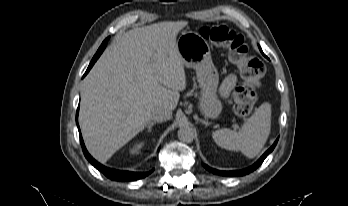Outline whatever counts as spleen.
I'll list each match as a JSON object with an SVG mask.
<instances>
[{
  "mask_svg": "<svg viewBox=\"0 0 348 206\" xmlns=\"http://www.w3.org/2000/svg\"><path fill=\"white\" fill-rule=\"evenodd\" d=\"M271 129V107L263 103L242 125L239 132L228 128L212 133L215 143L226 150L240 151L248 158L256 157L264 147Z\"/></svg>",
  "mask_w": 348,
  "mask_h": 206,
  "instance_id": "3e777b00",
  "label": "spleen"
}]
</instances>
